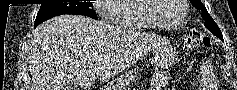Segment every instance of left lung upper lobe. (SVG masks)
I'll use <instances>...</instances> for the list:
<instances>
[{"instance_id":"5c2ea615","label":"left lung upper lobe","mask_w":237,"mask_h":90,"mask_svg":"<svg viewBox=\"0 0 237 90\" xmlns=\"http://www.w3.org/2000/svg\"><path fill=\"white\" fill-rule=\"evenodd\" d=\"M192 5L196 8L202 11V18L205 20V27L214 35H216L218 38H220L223 41L222 33L217 26V24L214 22L212 17L207 12L205 6L202 4L201 0H190Z\"/></svg>"}]
</instances>
